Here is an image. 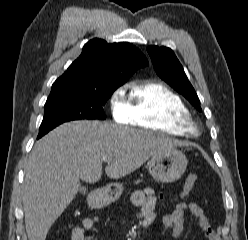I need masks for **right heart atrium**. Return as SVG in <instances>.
Wrapping results in <instances>:
<instances>
[{
  "label": "right heart atrium",
  "mask_w": 248,
  "mask_h": 240,
  "mask_svg": "<svg viewBox=\"0 0 248 240\" xmlns=\"http://www.w3.org/2000/svg\"><path fill=\"white\" fill-rule=\"evenodd\" d=\"M125 86L114 89L108 99L111 116L120 123H130L131 114L128 102L124 96Z\"/></svg>",
  "instance_id": "right-heart-atrium-1"
}]
</instances>
